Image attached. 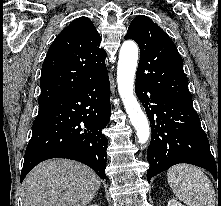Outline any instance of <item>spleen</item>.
Segmentation results:
<instances>
[{"instance_id":"spleen-1","label":"spleen","mask_w":221,"mask_h":206,"mask_svg":"<svg viewBox=\"0 0 221 206\" xmlns=\"http://www.w3.org/2000/svg\"><path fill=\"white\" fill-rule=\"evenodd\" d=\"M175 196L188 206H215L216 195L210 179L197 167L180 164L167 172Z\"/></svg>"}]
</instances>
